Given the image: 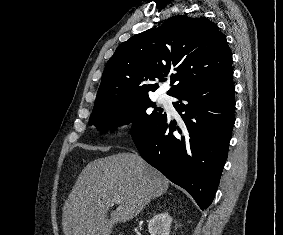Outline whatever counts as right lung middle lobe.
<instances>
[{
	"label": "right lung middle lobe",
	"instance_id": "obj_1",
	"mask_svg": "<svg viewBox=\"0 0 283 235\" xmlns=\"http://www.w3.org/2000/svg\"><path fill=\"white\" fill-rule=\"evenodd\" d=\"M150 107H155V104L148 96L98 104L94 106L90 124L99 130H107L111 126L118 127L133 122L131 136L135 138L155 127L167 116L158 108L150 111Z\"/></svg>",
	"mask_w": 283,
	"mask_h": 235
}]
</instances>
